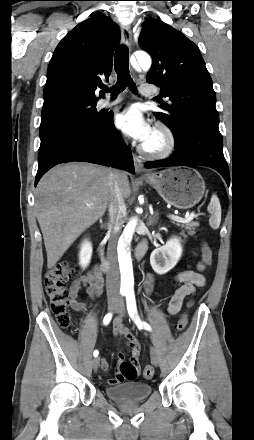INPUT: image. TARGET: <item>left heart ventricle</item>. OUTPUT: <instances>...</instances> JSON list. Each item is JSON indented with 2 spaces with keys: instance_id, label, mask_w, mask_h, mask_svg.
Segmentation results:
<instances>
[{
  "instance_id": "1",
  "label": "left heart ventricle",
  "mask_w": 254,
  "mask_h": 440,
  "mask_svg": "<svg viewBox=\"0 0 254 440\" xmlns=\"http://www.w3.org/2000/svg\"><path fill=\"white\" fill-rule=\"evenodd\" d=\"M162 137L159 133L153 131L151 137L148 139V141L145 143V145L149 148L155 149L161 146L162 144Z\"/></svg>"
}]
</instances>
